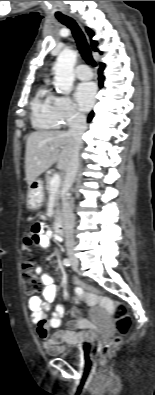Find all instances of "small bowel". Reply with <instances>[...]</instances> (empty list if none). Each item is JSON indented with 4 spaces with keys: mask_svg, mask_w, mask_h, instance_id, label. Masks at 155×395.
Masks as SVG:
<instances>
[{
    "mask_svg": "<svg viewBox=\"0 0 155 395\" xmlns=\"http://www.w3.org/2000/svg\"><path fill=\"white\" fill-rule=\"evenodd\" d=\"M24 245H35L39 250L45 251L50 246V236L47 233L46 223H36L30 230L29 237L24 240ZM43 284V299L33 296L28 301L31 310V322L36 328V333L41 339L43 347L50 353L55 352L56 348L62 343L82 344L92 340L95 336V324L82 317L78 310L71 311V318L67 322L66 330H59L52 336L49 335L50 329H58L61 326L62 318L65 313L63 305H58L54 312L48 316L46 312L56 297L57 288L53 278L47 273H43L36 267ZM78 302H86L91 306L99 307L94 312L103 320V312L113 310L112 301L104 296L88 293L82 289L81 285L76 289Z\"/></svg>",
    "mask_w": 155,
    "mask_h": 395,
    "instance_id": "c3829d8e",
    "label": "small bowel"
}]
</instances>
